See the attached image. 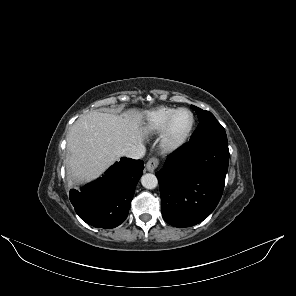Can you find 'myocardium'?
I'll list each match as a JSON object with an SVG mask.
<instances>
[{
    "mask_svg": "<svg viewBox=\"0 0 296 296\" xmlns=\"http://www.w3.org/2000/svg\"><path fill=\"white\" fill-rule=\"evenodd\" d=\"M180 112H187L191 117V121L188 128L183 133L175 136L173 134L172 128H173L175 118ZM194 124H195V118L193 113L189 109H186V108L176 109L174 113L171 115V117L169 118V120L167 121L165 127L161 132L160 140H159V147L161 152L164 154H170L179 150L185 144L188 137L190 136L193 130Z\"/></svg>",
    "mask_w": 296,
    "mask_h": 296,
    "instance_id": "1",
    "label": "myocardium"
}]
</instances>
